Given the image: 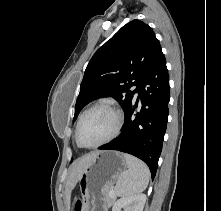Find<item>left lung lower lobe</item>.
Listing matches in <instances>:
<instances>
[{
  "label": "left lung lower lobe",
  "instance_id": "left-lung-lower-lobe-1",
  "mask_svg": "<svg viewBox=\"0 0 221 211\" xmlns=\"http://www.w3.org/2000/svg\"><path fill=\"white\" fill-rule=\"evenodd\" d=\"M142 107L133 100L125 111V122L118 138L101 146V150H118L143 160L154 179L167 127L170 99L169 75L160 50L149 66L138 91Z\"/></svg>",
  "mask_w": 221,
  "mask_h": 211
}]
</instances>
